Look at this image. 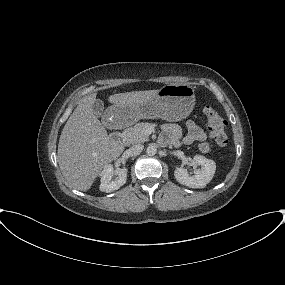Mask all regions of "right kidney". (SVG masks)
Instances as JSON below:
<instances>
[{"mask_svg": "<svg viewBox=\"0 0 285 285\" xmlns=\"http://www.w3.org/2000/svg\"><path fill=\"white\" fill-rule=\"evenodd\" d=\"M127 171L128 170L125 167L117 170L116 174L118 175V177L115 180H112L113 174L115 173L113 166L111 164L104 166L100 174V190L106 193L118 190L126 183Z\"/></svg>", "mask_w": 285, "mask_h": 285, "instance_id": "right-kidney-1", "label": "right kidney"}]
</instances>
